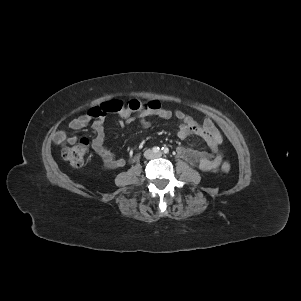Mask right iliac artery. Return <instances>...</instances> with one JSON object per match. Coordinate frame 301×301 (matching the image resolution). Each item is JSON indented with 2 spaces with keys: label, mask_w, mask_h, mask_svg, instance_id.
Returning <instances> with one entry per match:
<instances>
[{
  "label": "right iliac artery",
  "mask_w": 301,
  "mask_h": 301,
  "mask_svg": "<svg viewBox=\"0 0 301 301\" xmlns=\"http://www.w3.org/2000/svg\"><path fill=\"white\" fill-rule=\"evenodd\" d=\"M153 152L158 153L160 151V148L158 146L153 147Z\"/></svg>",
  "instance_id": "82829eb1"
}]
</instances>
